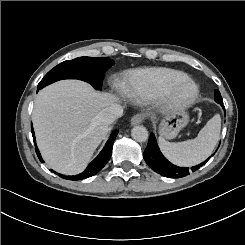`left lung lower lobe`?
Masks as SVG:
<instances>
[{
  "mask_svg": "<svg viewBox=\"0 0 245 245\" xmlns=\"http://www.w3.org/2000/svg\"><path fill=\"white\" fill-rule=\"evenodd\" d=\"M215 101L221 104L223 109H225L223 106L221 94L218 90L215 91ZM212 156L213 155H211L203 163L191 168L175 166L172 163H170L160 152L154 134H150L148 145L143 154L146 163L152 170H154L162 176L170 178H181L189 175L191 171L194 172L201 166H203Z\"/></svg>",
  "mask_w": 245,
  "mask_h": 245,
  "instance_id": "obj_1",
  "label": "left lung lower lobe"
}]
</instances>
